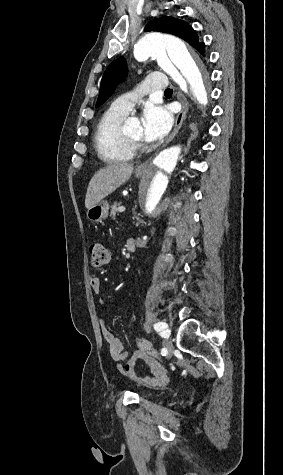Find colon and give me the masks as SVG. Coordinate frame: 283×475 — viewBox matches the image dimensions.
Masks as SVG:
<instances>
[{"mask_svg":"<svg viewBox=\"0 0 283 475\" xmlns=\"http://www.w3.org/2000/svg\"><path fill=\"white\" fill-rule=\"evenodd\" d=\"M109 253L102 243H94L91 245V264L93 267H102L107 263ZM136 346L138 351L131 355L130 360L133 363H145L151 366L157 365L161 361L159 353L151 347V344L144 338H136Z\"/></svg>","mask_w":283,"mask_h":475,"instance_id":"5ec220e1","label":"colon"}]
</instances>
